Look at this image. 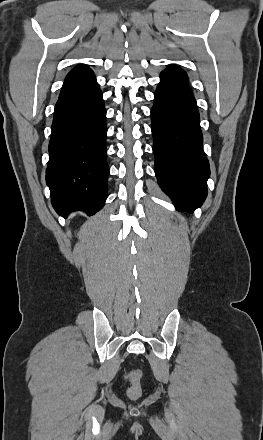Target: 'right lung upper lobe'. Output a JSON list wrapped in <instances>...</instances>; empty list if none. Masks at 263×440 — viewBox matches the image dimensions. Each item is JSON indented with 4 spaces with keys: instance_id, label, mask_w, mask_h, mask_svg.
Returning a JSON list of instances; mask_svg holds the SVG:
<instances>
[{
    "instance_id": "right-lung-upper-lobe-1",
    "label": "right lung upper lobe",
    "mask_w": 263,
    "mask_h": 440,
    "mask_svg": "<svg viewBox=\"0 0 263 440\" xmlns=\"http://www.w3.org/2000/svg\"><path fill=\"white\" fill-rule=\"evenodd\" d=\"M87 70H90L87 66H80V67H77V68L71 70V71L68 73L66 79L71 78V77H73V76H75V75H77V74H79V73H81V72L87 71Z\"/></svg>"
}]
</instances>
